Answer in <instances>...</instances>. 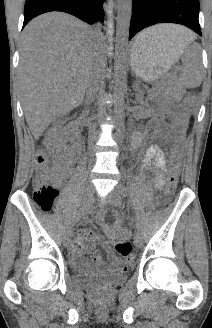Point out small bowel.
<instances>
[{"mask_svg": "<svg viewBox=\"0 0 212 328\" xmlns=\"http://www.w3.org/2000/svg\"><path fill=\"white\" fill-rule=\"evenodd\" d=\"M143 166L152 165L155 168L154 182L156 187L160 188L164 184L163 172L167 170V161L163 152L156 146L149 147L142 160ZM73 172L72 168L55 166L53 168L52 179L55 183H61ZM100 226L103 228L108 240L112 241L119 235L128 236L129 232L123 228L121 222L116 221L110 226L103 216L98 218ZM97 244L102 245L108 256V263L104 262L100 253L95 249ZM71 254L76 259L84 254L91 256L92 265L95 271L99 273H109L126 270L125 265L113 254L109 245L102 239L96 237L91 230H80L71 247Z\"/></svg>", "mask_w": 212, "mask_h": 328, "instance_id": "small-bowel-1", "label": "small bowel"}]
</instances>
